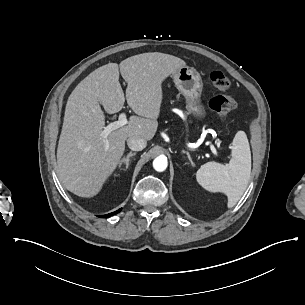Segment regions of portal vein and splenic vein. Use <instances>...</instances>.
Wrapping results in <instances>:
<instances>
[{"mask_svg": "<svg viewBox=\"0 0 305 305\" xmlns=\"http://www.w3.org/2000/svg\"><path fill=\"white\" fill-rule=\"evenodd\" d=\"M126 123V112H122L120 115H119V121L117 122H113V123H110L108 124L102 134L103 135H108L109 133H111L112 131L118 129L119 127L123 126L124 124ZM211 151L212 153L218 158L219 157V154L216 150L215 147H211ZM227 158H230V156H227Z\"/></svg>", "mask_w": 305, "mask_h": 305, "instance_id": "1", "label": "portal vein and splenic vein"}]
</instances>
